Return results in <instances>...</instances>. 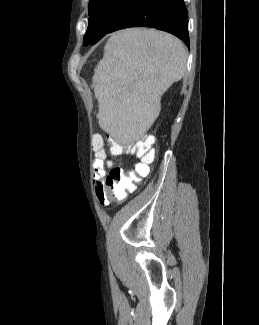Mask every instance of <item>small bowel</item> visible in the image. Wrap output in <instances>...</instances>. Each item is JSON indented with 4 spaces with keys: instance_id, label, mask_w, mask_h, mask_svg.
<instances>
[{
    "instance_id": "c3829d8e",
    "label": "small bowel",
    "mask_w": 259,
    "mask_h": 325,
    "mask_svg": "<svg viewBox=\"0 0 259 325\" xmlns=\"http://www.w3.org/2000/svg\"><path fill=\"white\" fill-rule=\"evenodd\" d=\"M105 158H106V154L102 157H99L98 155H95V159L93 161V177L95 180V188L97 191V195H98V190L100 187V183L102 181V179L104 178L105 174H106V162H105ZM111 163L108 162V165H110ZM99 201L102 205H107L108 202H106L104 199H102L99 195H98Z\"/></svg>"
}]
</instances>
